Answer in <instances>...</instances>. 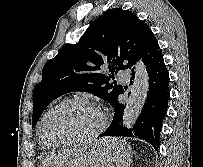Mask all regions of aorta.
Here are the masks:
<instances>
[{"label":"aorta","instance_id":"obj_1","mask_svg":"<svg viewBox=\"0 0 203 167\" xmlns=\"http://www.w3.org/2000/svg\"><path fill=\"white\" fill-rule=\"evenodd\" d=\"M149 77L142 61L135 64V80L130 97L124 109L122 123L124 127H131L140 115L147 98Z\"/></svg>","mask_w":203,"mask_h":167}]
</instances>
